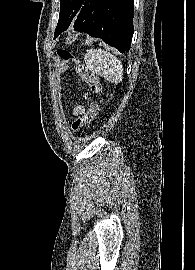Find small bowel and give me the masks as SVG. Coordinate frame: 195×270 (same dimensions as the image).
Returning <instances> with one entry per match:
<instances>
[{"instance_id": "obj_1", "label": "small bowel", "mask_w": 195, "mask_h": 270, "mask_svg": "<svg viewBox=\"0 0 195 270\" xmlns=\"http://www.w3.org/2000/svg\"><path fill=\"white\" fill-rule=\"evenodd\" d=\"M83 112V108L82 107H76L75 109H74V114L75 115H79V114H81Z\"/></svg>"}]
</instances>
